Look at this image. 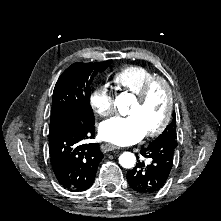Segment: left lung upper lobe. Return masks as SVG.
Here are the masks:
<instances>
[{"label": "left lung upper lobe", "mask_w": 221, "mask_h": 221, "mask_svg": "<svg viewBox=\"0 0 221 221\" xmlns=\"http://www.w3.org/2000/svg\"><path fill=\"white\" fill-rule=\"evenodd\" d=\"M177 135H176V115L174 112L173 115V120L172 122L166 127V129L163 131V133L161 135L158 136V138H156V140H161V139H171L176 141Z\"/></svg>", "instance_id": "5c2ea615"}]
</instances>
